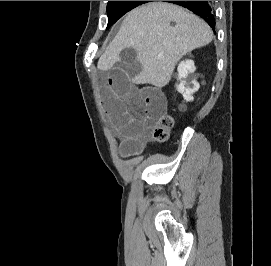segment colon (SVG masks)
<instances>
[{"mask_svg":"<svg viewBox=\"0 0 271 266\" xmlns=\"http://www.w3.org/2000/svg\"><path fill=\"white\" fill-rule=\"evenodd\" d=\"M174 127V120L170 115H163L155 129H154V138L158 141H165L169 138L171 130Z\"/></svg>","mask_w":271,"mask_h":266,"instance_id":"5ec220e1","label":"colon"}]
</instances>
